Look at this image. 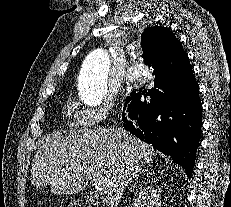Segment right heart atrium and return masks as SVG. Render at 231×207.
Here are the masks:
<instances>
[{
  "mask_svg": "<svg viewBox=\"0 0 231 207\" xmlns=\"http://www.w3.org/2000/svg\"><path fill=\"white\" fill-rule=\"evenodd\" d=\"M114 103L112 100H107L99 106L81 108L74 117L78 127L94 128L104 122L113 112Z\"/></svg>",
  "mask_w": 231,
  "mask_h": 207,
  "instance_id": "obj_1",
  "label": "right heart atrium"
}]
</instances>
